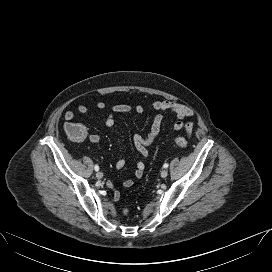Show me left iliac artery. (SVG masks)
<instances>
[{"label": "left iliac artery", "instance_id": "44dca946", "mask_svg": "<svg viewBox=\"0 0 272 272\" xmlns=\"http://www.w3.org/2000/svg\"><path fill=\"white\" fill-rule=\"evenodd\" d=\"M168 166H169L168 163H165V164L163 165L164 168H168Z\"/></svg>", "mask_w": 272, "mask_h": 272}]
</instances>
